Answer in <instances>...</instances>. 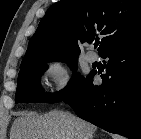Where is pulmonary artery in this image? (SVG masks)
Returning a JSON list of instances; mask_svg holds the SVG:
<instances>
[{
    "mask_svg": "<svg viewBox=\"0 0 141 139\" xmlns=\"http://www.w3.org/2000/svg\"><path fill=\"white\" fill-rule=\"evenodd\" d=\"M86 59L88 62L93 63L97 60V55L94 52L89 51L86 53Z\"/></svg>",
    "mask_w": 141,
    "mask_h": 139,
    "instance_id": "pulmonary-artery-1",
    "label": "pulmonary artery"
}]
</instances>
